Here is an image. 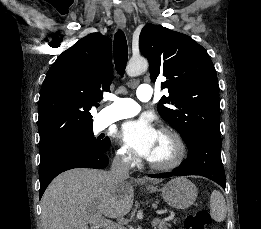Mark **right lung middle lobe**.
<instances>
[{"label": "right lung middle lobe", "mask_w": 261, "mask_h": 229, "mask_svg": "<svg viewBox=\"0 0 261 229\" xmlns=\"http://www.w3.org/2000/svg\"><path fill=\"white\" fill-rule=\"evenodd\" d=\"M110 144L111 142L108 137H95L93 130H90L84 135L62 145L39 150L40 161L62 155L106 153Z\"/></svg>", "instance_id": "dd1d6c3e"}]
</instances>
